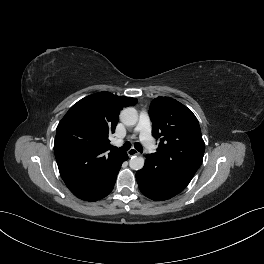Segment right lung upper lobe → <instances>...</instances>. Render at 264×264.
I'll use <instances>...</instances> for the list:
<instances>
[{"label":"right lung upper lobe","instance_id":"1","mask_svg":"<svg viewBox=\"0 0 264 264\" xmlns=\"http://www.w3.org/2000/svg\"><path fill=\"white\" fill-rule=\"evenodd\" d=\"M137 102L110 92L92 94L75 103L58 124L55 158L76 197L97 201L111 189L126 153L113 150L109 136L115 132L120 110Z\"/></svg>","mask_w":264,"mask_h":264}]
</instances>
